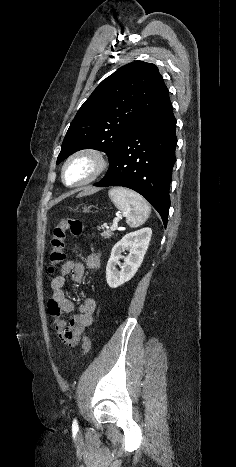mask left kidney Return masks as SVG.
Here are the masks:
<instances>
[{"mask_svg":"<svg viewBox=\"0 0 236 467\" xmlns=\"http://www.w3.org/2000/svg\"><path fill=\"white\" fill-rule=\"evenodd\" d=\"M151 236V228H143L126 234L113 246L111 256L106 267V280L109 287L117 288L129 281L135 275L143 262ZM125 250L129 251V254L124 257V267L118 271L116 269V264L119 259L123 258L121 253Z\"/></svg>","mask_w":236,"mask_h":467,"instance_id":"1","label":"left kidney"}]
</instances>
